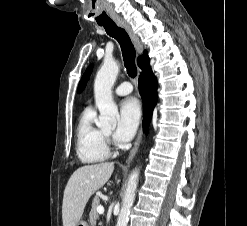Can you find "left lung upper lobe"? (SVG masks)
Instances as JSON below:
<instances>
[{
	"mask_svg": "<svg viewBox=\"0 0 247 226\" xmlns=\"http://www.w3.org/2000/svg\"><path fill=\"white\" fill-rule=\"evenodd\" d=\"M92 72V65H90L87 69H86V72L85 74L83 75L80 83H79V86H78V92H82V90L84 89V87L86 86V83L88 81V78L90 76Z\"/></svg>",
	"mask_w": 247,
	"mask_h": 226,
	"instance_id": "left-lung-upper-lobe-1",
	"label": "left lung upper lobe"
}]
</instances>
